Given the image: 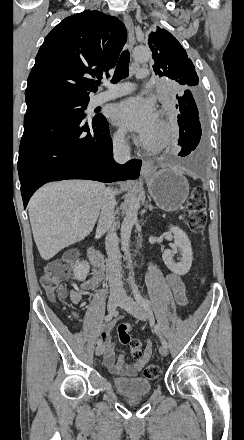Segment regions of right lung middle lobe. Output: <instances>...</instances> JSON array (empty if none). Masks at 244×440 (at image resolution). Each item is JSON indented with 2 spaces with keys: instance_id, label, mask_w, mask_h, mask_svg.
<instances>
[{
  "instance_id": "right-lung-middle-lobe-1",
  "label": "right lung middle lobe",
  "mask_w": 244,
  "mask_h": 440,
  "mask_svg": "<svg viewBox=\"0 0 244 440\" xmlns=\"http://www.w3.org/2000/svg\"><path fill=\"white\" fill-rule=\"evenodd\" d=\"M90 98L43 96L26 99L27 108L34 106L53 107L77 115H85Z\"/></svg>"
}]
</instances>
